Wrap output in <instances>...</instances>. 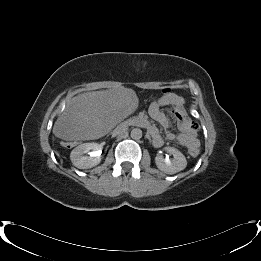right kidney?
Instances as JSON below:
<instances>
[{"mask_svg": "<svg viewBox=\"0 0 261 261\" xmlns=\"http://www.w3.org/2000/svg\"><path fill=\"white\" fill-rule=\"evenodd\" d=\"M102 146L95 142L83 143L75 147L70 153L72 164L79 169H89L101 161ZM89 154V156L85 154Z\"/></svg>", "mask_w": 261, "mask_h": 261, "instance_id": "ca27d5eb", "label": "right kidney"}]
</instances>
